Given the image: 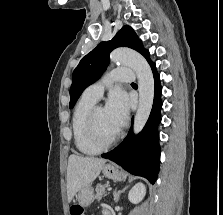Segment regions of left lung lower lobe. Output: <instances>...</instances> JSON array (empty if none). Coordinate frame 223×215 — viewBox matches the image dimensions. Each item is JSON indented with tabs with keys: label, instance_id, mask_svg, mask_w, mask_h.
Returning a JSON list of instances; mask_svg holds the SVG:
<instances>
[{
	"label": "left lung lower lobe",
	"instance_id": "obj_1",
	"mask_svg": "<svg viewBox=\"0 0 223 215\" xmlns=\"http://www.w3.org/2000/svg\"><path fill=\"white\" fill-rule=\"evenodd\" d=\"M154 76V102L149 119L137 136L130 129L126 138L112 151L101 155L121 165L125 170L134 175L145 177L154 184L159 171L160 147L158 142L157 127L161 121L160 109L161 86L160 76L156 71L155 64L151 65Z\"/></svg>",
	"mask_w": 223,
	"mask_h": 215
}]
</instances>
